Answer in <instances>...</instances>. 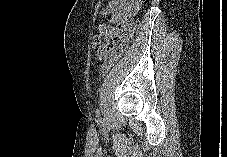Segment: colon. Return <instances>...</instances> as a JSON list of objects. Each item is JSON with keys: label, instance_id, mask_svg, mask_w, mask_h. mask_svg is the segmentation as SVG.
<instances>
[{"label": "colon", "instance_id": "colon-1", "mask_svg": "<svg viewBox=\"0 0 227 157\" xmlns=\"http://www.w3.org/2000/svg\"><path fill=\"white\" fill-rule=\"evenodd\" d=\"M117 32L118 28L103 24L92 40V49L95 55L104 60L101 67L102 75H106L128 50L130 42L137 33V26H130L128 32H124L120 37H116ZM111 40H113V44H110Z\"/></svg>", "mask_w": 227, "mask_h": 157}]
</instances>
